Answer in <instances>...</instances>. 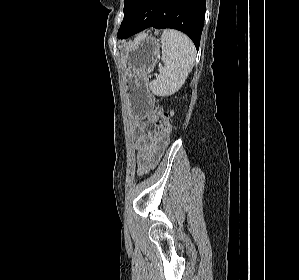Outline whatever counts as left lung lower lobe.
Returning <instances> with one entry per match:
<instances>
[{
	"mask_svg": "<svg viewBox=\"0 0 299 280\" xmlns=\"http://www.w3.org/2000/svg\"><path fill=\"white\" fill-rule=\"evenodd\" d=\"M206 0H134L129 20L118 38L132 36L148 27L172 28L187 34L198 50Z\"/></svg>",
	"mask_w": 299,
	"mask_h": 280,
	"instance_id": "1",
	"label": "left lung lower lobe"
}]
</instances>
